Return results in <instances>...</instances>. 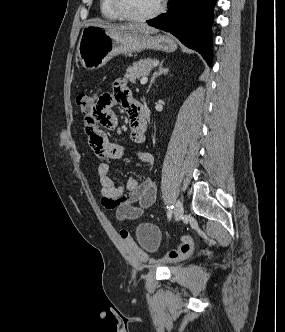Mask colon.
<instances>
[{"mask_svg": "<svg viewBox=\"0 0 285 332\" xmlns=\"http://www.w3.org/2000/svg\"><path fill=\"white\" fill-rule=\"evenodd\" d=\"M95 96L94 93H81L76 98V104L80 113L84 116L85 111H90V108L94 106ZM102 96V95H101ZM121 238L128 244L133 253L142 261H149L147 253L135 242L130 232L126 229L120 231ZM192 250V242L188 237L182 239L181 244L177 249L168 252L160 262L167 263L177 261L186 258Z\"/></svg>", "mask_w": 285, "mask_h": 332, "instance_id": "obj_1", "label": "colon"}]
</instances>
